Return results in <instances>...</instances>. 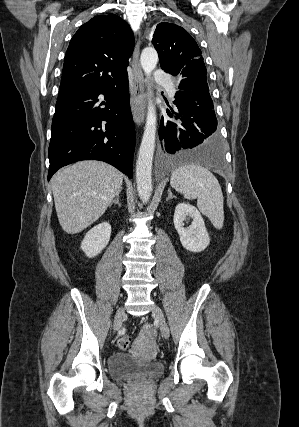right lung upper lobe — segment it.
Instances as JSON below:
<instances>
[{"mask_svg": "<svg viewBox=\"0 0 299 427\" xmlns=\"http://www.w3.org/2000/svg\"><path fill=\"white\" fill-rule=\"evenodd\" d=\"M133 49L134 36L124 20L113 14L95 16L70 41L58 99L120 78Z\"/></svg>", "mask_w": 299, "mask_h": 427, "instance_id": "1", "label": "right lung upper lobe"}]
</instances>
